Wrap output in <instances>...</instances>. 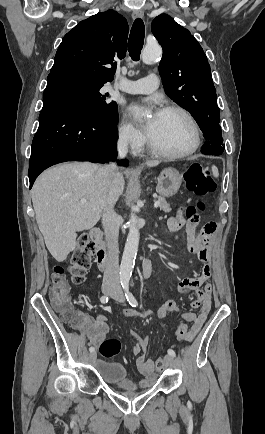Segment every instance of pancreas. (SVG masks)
<instances>
[{
	"label": "pancreas",
	"instance_id": "cf45deb5",
	"mask_svg": "<svg viewBox=\"0 0 265 434\" xmlns=\"http://www.w3.org/2000/svg\"><path fill=\"white\" fill-rule=\"evenodd\" d=\"M157 200L159 202L160 210H163V212H171L170 204H167L165 198H161V196H158Z\"/></svg>",
	"mask_w": 265,
	"mask_h": 434
}]
</instances>
